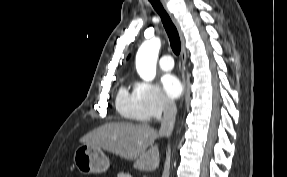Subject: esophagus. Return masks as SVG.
<instances>
[{
  "mask_svg": "<svg viewBox=\"0 0 287 177\" xmlns=\"http://www.w3.org/2000/svg\"><path fill=\"white\" fill-rule=\"evenodd\" d=\"M162 6L164 7L165 11L168 13L169 17L171 18L172 22L174 23V25L176 26L180 38H181V42H182V49H181V61H182V78L183 81L185 82V69H186V49H185V44H184V37L182 34V31L180 29L179 23L177 21V19L174 17V15L169 11L168 7H167V0H160Z\"/></svg>",
  "mask_w": 287,
  "mask_h": 177,
  "instance_id": "34e87169",
  "label": "esophagus"
}]
</instances>
